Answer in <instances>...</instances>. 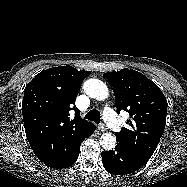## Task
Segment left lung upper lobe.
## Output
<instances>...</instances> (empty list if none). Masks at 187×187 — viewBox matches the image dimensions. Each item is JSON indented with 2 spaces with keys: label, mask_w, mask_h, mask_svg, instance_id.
Instances as JSON below:
<instances>
[{
  "label": "left lung upper lobe",
  "mask_w": 187,
  "mask_h": 187,
  "mask_svg": "<svg viewBox=\"0 0 187 187\" xmlns=\"http://www.w3.org/2000/svg\"><path fill=\"white\" fill-rule=\"evenodd\" d=\"M116 94L117 111H127L131 120L116 138L125 148L152 156L166 124L167 101L159 87L133 69L105 73Z\"/></svg>",
  "instance_id": "5c2ea615"
}]
</instances>
